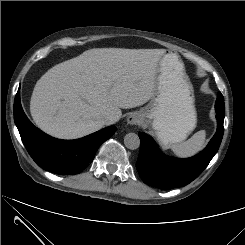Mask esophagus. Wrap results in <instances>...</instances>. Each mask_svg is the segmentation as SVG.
<instances>
[{
	"label": "esophagus",
	"instance_id": "obj_1",
	"mask_svg": "<svg viewBox=\"0 0 245 245\" xmlns=\"http://www.w3.org/2000/svg\"><path fill=\"white\" fill-rule=\"evenodd\" d=\"M127 122L130 125H138L142 123V118L138 116L137 114H132L128 117Z\"/></svg>",
	"mask_w": 245,
	"mask_h": 245
}]
</instances>
